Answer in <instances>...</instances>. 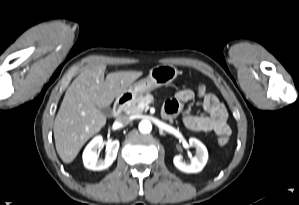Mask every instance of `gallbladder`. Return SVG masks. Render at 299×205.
I'll return each instance as SVG.
<instances>
[{
	"mask_svg": "<svg viewBox=\"0 0 299 205\" xmlns=\"http://www.w3.org/2000/svg\"><path fill=\"white\" fill-rule=\"evenodd\" d=\"M100 111L105 115V116H110L112 114V110L110 107H104L100 108Z\"/></svg>",
	"mask_w": 299,
	"mask_h": 205,
	"instance_id": "bac80fb5",
	"label": "gallbladder"
}]
</instances>
